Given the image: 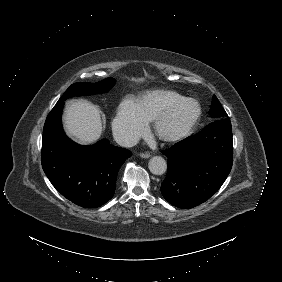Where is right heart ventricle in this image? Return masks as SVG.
Here are the masks:
<instances>
[{"label": "right heart ventricle", "mask_w": 282, "mask_h": 282, "mask_svg": "<svg viewBox=\"0 0 282 282\" xmlns=\"http://www.w3.org/2000/svg\"><path fill=\"white\" fill-rule=\"evenodd\" d=\"M182 98L172 91L158 90L147 93L139 103L148 120H155L172 102Z\"/></svg>", "instance_id": "obj_1"}]
</instances>
